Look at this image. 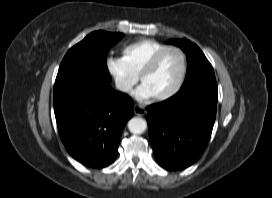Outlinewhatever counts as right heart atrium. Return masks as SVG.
Instances as JSON below:
<instances>
[{"instance_id": "right-heart-atrium-1", "label": "right heart atrium", "mask_w": 272, "mask_h": 198, "mask_svg": "<svg viewBox=\"0 0 272 198\" xmlns=\"http://www.w3.org/2000/svg\"><path fill=\"white\" fill-rule=\"evenodd\" d=\"M106 69L113 78L117 90L122 94H130L138 80V76L133 73L125 60L114 55L108 56Z\"/></svg>"}]
</instances>
